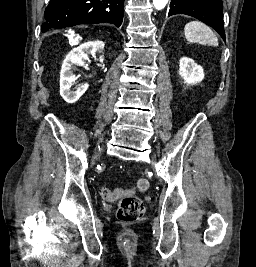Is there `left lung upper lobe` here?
<instances>
[{
    "label": "left lung upper lobe",
    "mask_w": 256,
    "mask_h": 267,
    "mask_svg": "<svg viewBox=\"0 0 256 267\" xmlns=\"http://www.w3.org/2000/svg\"><path fill=\"white\" fill-rule=\"evenodd\" d=\"M222 0H171L168 16L186 14L214 28L225 41Z\"/></svg>",
    "instance_id": "obj_1"
}]
</instances>
